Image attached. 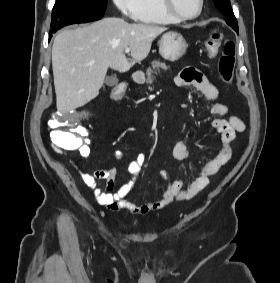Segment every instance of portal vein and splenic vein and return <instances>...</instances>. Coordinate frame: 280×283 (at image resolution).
<instances>
[{"label": "portal vein and splenic vein", "instance_id": "portal-vein-and-splenic-vein-1", "mask_svg": "<svg viewBox=\"0 0 280 283\" xmlns=\"http://www.w3.org/2000/svg\"><path fill=\"white\" fill-rule=\"evenodd\" d=\"M129 52H130V48L127 47V48L125 49V53H129Z\"/></svg>", "mask_w": 280, "mask_h": 283}]
</instances>
